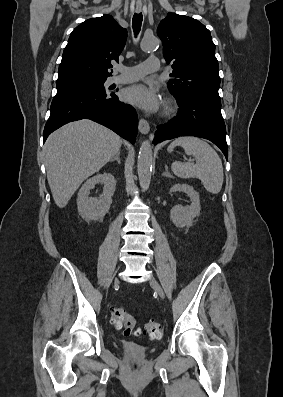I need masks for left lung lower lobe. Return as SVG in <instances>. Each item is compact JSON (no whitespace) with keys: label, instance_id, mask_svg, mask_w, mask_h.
Listing matches in <instances>:
<instances>
[{"label":"left lung lower lobe","instance_id":"left-lung-lower-lobe-1","mask_svg":"<svg viewBox=\"0 0 283 397\" xmlns=\"http://www.w3.org/2000/svg\"><path fill=\"white\" fill-rule=\"evenodd\" d=\"M178 103V115L168 123L157 126L153 143L179 136L201 137L217 145L227 159L226 127L221 114V104L200 98Z\"/></svg>","mask_w":283,"mask_h":397}]
</instances>
